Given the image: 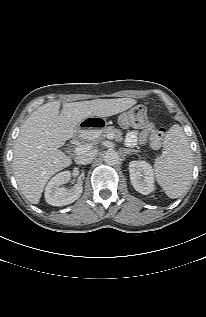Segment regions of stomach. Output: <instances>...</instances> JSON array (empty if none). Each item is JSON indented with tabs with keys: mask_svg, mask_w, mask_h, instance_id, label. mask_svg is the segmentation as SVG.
<instances>
[{
	"mask_svg": "<svg viewBox=\"0 0 206 317\" xmlns=\"http://www.w3.org/2000/svg\"><path fill=\"white\" fill-rule=\"evenodd\" d=\"M116 125V120L111 115L91 116L76 125L75 133L79 139L94 142L100 138L102 130H110Z\"/></svg>",
	"mask_w": 206,
	"mask_h": 317,
	"instance_id": "1",
	"label": "stomach"
}]
</instances>
